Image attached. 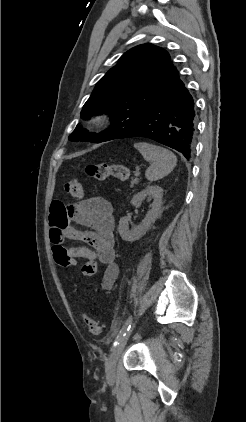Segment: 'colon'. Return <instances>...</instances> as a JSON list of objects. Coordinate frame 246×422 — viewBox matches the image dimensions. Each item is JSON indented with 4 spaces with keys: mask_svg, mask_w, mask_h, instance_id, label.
Instances as JSON below:
<instances>
[{
    "mask_svg": "<svg viewBox=\"0 0 246 422\" xmlns=\"http://www.w3.org/2000/svg\"><path fill=\"white\" fill-rule=\"evenodd\" d=\"M86 176L91 180L103 181L113 176L121 181L129 177V170L122 164H88L85 168ZM67 193L74 198H82L84 195L83 186L77 178H71L65 185ZM55 262L61 267H69L74 263L69 253L62 248H57L53 252ZM97 272V263L87 261L82 267V274L92 277ZM84 326L91 334L98 335L103 331L104 325L100 320L93 319L86 313H81Z\"/></svg>",
    "mask_w": 246,
    "mask_h": 422,
    "instance_id": "1",
    "label": "colon"
}]
</instances>
